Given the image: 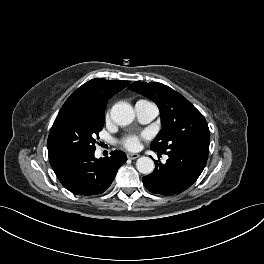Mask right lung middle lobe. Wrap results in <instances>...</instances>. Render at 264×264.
<instances>
[{"label": "right lung middle lobe", "mask_w": 264, "mask_h": 264, "mask_svg": "<svg viewBox=\"0 0 264 264\" xmlns=\"http://www.w3.org/2000/svg\"><path fill=\"white\" fill-rule=\"evenodd\" d=\"M103 125L104 115L76 109L60 110L47 141L50 162L73 154L94 152Z\"/></svg>", "instance_id": "dd1d6c3e"}]
</instances>
